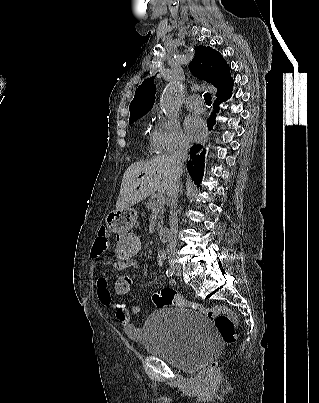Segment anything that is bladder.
Instances as JSON below:
<instances>
[{"label":"bladder","mask_w":319,"mask_h":403,"mask_svg":"<svg viewBox=\"0 0 319 403\" xmlns=\"http://www.w3.org/2000/svg\"><path fill=\"white\" fill-rule=\"evenodd\" d=\"M143 333L149 354L181 370L204 366L220 349L210 319L194 310H155L146 320Z\"/></svg>","instance_id":"obj_1"}]
</instances>
